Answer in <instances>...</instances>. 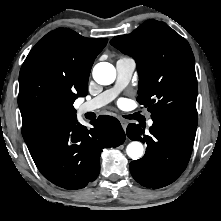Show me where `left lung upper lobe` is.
Listing matches in <instances>:
<instances>
[{"mask_svg": "<svg viewBox=\"0 0 221 221\" xmlns=\"http://www.w3.org/2000/svg\"><path fill=\"white\" fill-rule=\"evenodd\" d=\"M111 45L137 63V100L151 112L197 125L195 60L186 39L164 22L149 20Z\"/></svg>", "mask_w": 221, "mask_h": 221, "instance_id": "obj_1", "label": "left lung upper lobe"}]
</instances>
